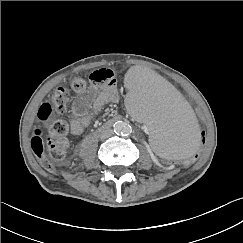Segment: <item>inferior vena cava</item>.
I'll use <instances>...</instances> for the list:
<instances>
[{
    "label": "inferior vena cava",
    "instance_id": "602c4592",
    "mask_svg": "<svg viewBox=\"0 0 243 243\" xmlns=\"http://www.w3.org/2000/svg\"><path fill=\"white\" fill-rule=\"evenodd\" d=\"M113 134H114L113 130H111V129H107V130H104V131L100 134V137H101V139H106V138L111 137Z\"/></svg>",
    "mask_w": 243,
    "mask_h": 243
}]
</instances>
